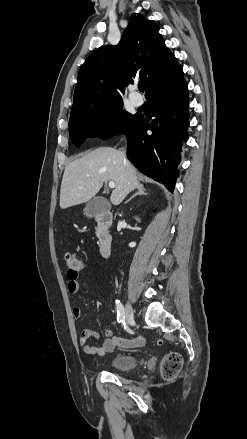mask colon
Listing matches in <instances>:
<instances>
[{"label":"colon","mask_w":247,"mask_h":439,"mask_svg":"<svg viewBox=\"0 0 247 439\" xmlns=\"http://www.w3.org/2000/svg\"><path fill=\"white\" fill-rule=\"evenodd\" d=\"M66 262L69 270L80 272L85 268L83 260L76 257L74 254L66 255ZM182 367V358L176 352L168 353L161 364V375L164 380L171 381L175 379Z\"/></svg>","instance_id":"colon-1"}]
</instances>
